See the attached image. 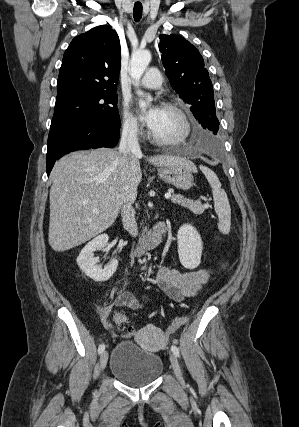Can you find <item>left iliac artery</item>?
<instances>
[{
	"instance_id": "left-iliac-artery-1",
	"label": "left iliac artery",
	"mask_w": 299,
	"mask_h": 427,
	"mask_svg": "<svg viewBox=\"0 0 299 427\" xmlns=\"http://www.w3.org/2000/svg\"><path fill=\"white\" fill-rule=\"evenodd\" d=\"M172 352L179 357V349L176 346L171 347Z\"/></svg>"
}]
</instances>
